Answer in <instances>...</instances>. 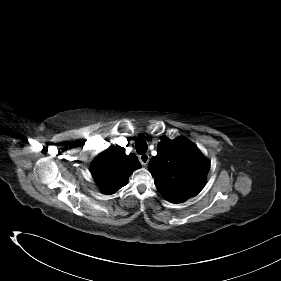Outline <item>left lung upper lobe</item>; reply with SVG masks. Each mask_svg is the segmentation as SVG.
I'll return each mask as SVG.
<instances>
[{
	"mask_svg": "<svg viewBox=\"0 0 281 281\" xmlns=\"http://www.w3.org/2000/svg\"><path fill=\"white\" fill-rule=\"evenodd\" d=\"M148 169L160 193L171 203L196 196L205 184L210 162L184 138L162 139Z\"/></svg>",
	"mask_w": 281,
	"mask_h": 281,
	"instance_id": "obj_1",
	"label": "left lung upper lobe"
}]
</instances>
